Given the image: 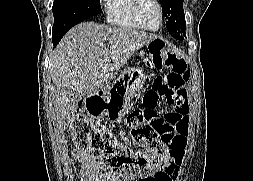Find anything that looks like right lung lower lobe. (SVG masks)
<instances>
[{
    "label": "right lung lower lobe",
    "mask_w": 253,
    "mask_h": 181,
    "mask_svg": "<svg viewBox=\"0 0 253 181\" xmlns=\"http://www.w3.org/2000/svg\"><path fill=\"white\" fill-rule=\"evenodd\" d=\"M66 32L59 33L58 35L52 36L53 45L56 46Z\"/></svg>",
    "instance_id": "98d812e1"
}]
</instances>
